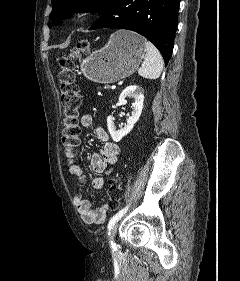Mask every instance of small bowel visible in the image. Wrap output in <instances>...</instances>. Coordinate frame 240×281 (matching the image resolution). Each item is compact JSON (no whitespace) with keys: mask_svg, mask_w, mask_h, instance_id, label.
I'll return each mask as SVG.
<instances>
[{"mask_svg":"<svg viewBox=\"0 0 240 281\" xmlns=\"http://www.w3.org/2000/svg\"><path fill=\"white\" fill-rule=\"evenodd\" d=\"M81 125L85 128L93 125V117L91 114H84L80 119ZM95 135L103 144L99 153H95L91 157V167L96 176L92 180V186L96 190H102L105 186V176L109 175L113 166L117 162L120 152L119 146L110 140L109 134L102 127H96ZM69 160L68 168L70 174L78 183V190L74 192L73 201L81 215L83 221L87 224H101L107 214V205H102L93 209L89 200L83 197L82 189L86 180L83 169L74 161V156H67Z\"/></svg>","mask_w":240,"mask_h":281,"instance_id":"small-bowel-1","label":"small bowel"}]
</instances>
